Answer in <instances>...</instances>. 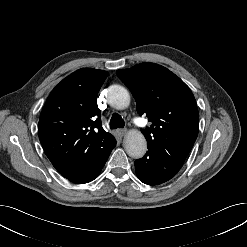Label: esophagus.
Returning <instances> with one entry per match:
<instances>
[{"label": "esophagus", "mask_w": 247, "mask_h": 247, "mask_svg": "<svg viewBox=\"0 0 247 247\" xmlns=\"http://www.w3.org/2000/svg\"><path fill=\"white\" fill-rule=\"evenodd\" d=\"M126 129H117L116 132L119 136H124L126 134Z\"/></svg>", "instance_id": "1"}]
</instances>
